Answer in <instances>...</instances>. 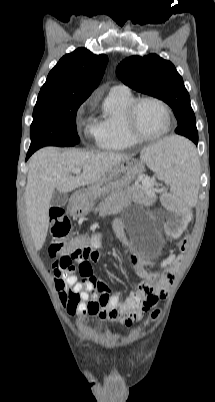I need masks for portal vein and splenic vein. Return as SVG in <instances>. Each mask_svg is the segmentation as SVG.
I'll list each match as a JSON object with an SVG mask.
<instances>
[{
  "mask_svg": "<svg viewBox=\"0 0 215 402\" xmlns=\"http://www.w3.org/2000/svg\"><path fill=\"white\" fill-rule=\"evenodd\" d=\"M72 172L74 174H76V175H79L81 173V170L80 169H74Z\"/></svg>",
  "mask_w": 215,
  "mask_h": 402,
  "instance_id": "portal-vein-and-splenic-vein-1",
  "label": "portal vein and splenic vein"
}]
</instances>
